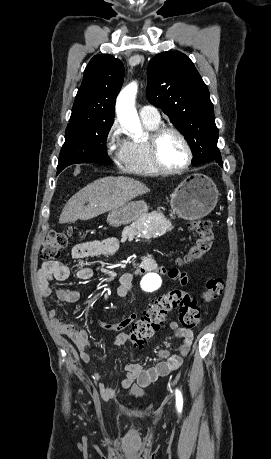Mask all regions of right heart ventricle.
I'll return each instance as SVG.
<instances>
[{"mask_svg":"<svg viewBox=\"0 0 271 459\" xmlns=\"http://www.w3.org/2000/svg\"><path fill=\"white\" fill-rule=\"evenodd\" d=\"M144 126L151 132L159 127L148 121H144ZM122 167L125 171L139 175H153L159 173L158 168L152 161L148 137L145 139H133L128 142L123 157Z\"/></svg>","mask_w":271,"mask_h":459,"instance_id":"1","label":"right heart ventricle"}]
</instances>
